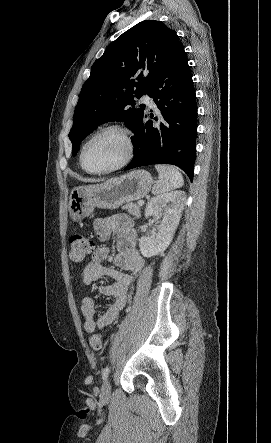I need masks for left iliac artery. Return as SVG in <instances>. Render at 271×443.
<instances>
[{"label":"left iliac artery","mask_w":271,"mask_h":443,"mask_svg":"<svg viewBox=\"0 0 271 443\" xmlns=\"http://www.w3.org/2000/svg\"><path fill=\"white\" fill-rule=\"evenodd\" d=\"M109 372H110V369H109L108 366L103 369V371H102V378H103V380H106V378L108 377Z\"/></svg>","instance_id":"obj_1"}]
</instances>
